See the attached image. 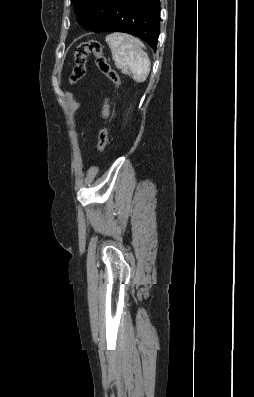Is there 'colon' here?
<instances>
[{"label": "colon", "instance_id": "colon-1", "mask_svg": "<svg viewBox=\"0 0 254 397\" xmlns=\"http://www.w3.org/2000/svg\"><path fill=\"white\" fill-rule=\"evenodd\" d=\"M93 55L99 70L113 83L115 89L120 86V77L110 66L103 54V46L97 40H89L79 44L74 52V67L70 75V83L75 84L86 75V64L89 55ZM109 142V127L104 126L98 136L97 150L102 154Z\"/></svg>", "mask_w": 254, "mask_h": 397}]
</instances>
